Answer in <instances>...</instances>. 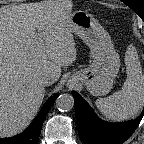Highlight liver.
Instances as JSON below:
<instances>
[{
	"label": "liver",
	"instance_id": "1",
	"mask_svg": "<svg viewBox=\"0 0 144 144\" xmlns=\"http://www.w3.org/2000/svg\"><path fill=\"white\" fill-rule=\"evenodd\" d=\"M72 2L48 0L0 10V137L23 131L40 108L44 76L57 81L76 60Z\"/></svg>",
	"mask_w": 144,
	"mask_h": 144
}]
</instances>
